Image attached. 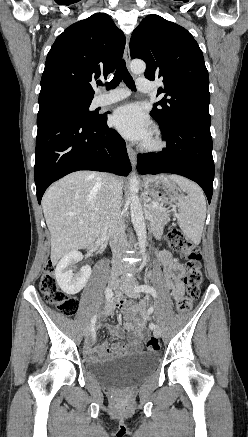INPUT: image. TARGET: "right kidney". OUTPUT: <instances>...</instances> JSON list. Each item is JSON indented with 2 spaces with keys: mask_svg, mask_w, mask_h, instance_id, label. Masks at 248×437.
<instances>
[{
  "mask_svg": "<svg viewBox=\"0 0 248 437\" xmlns=\"http://www.w3.org/2000/svg\"><path fill=\"white\" fill-rule=\"evenodd\" d=\"M82 259V254L72 251L61 258L55 269V277L59 287L69 295L79 293L91 275V267L84 266L79 273H74V263Z\"/></svg>",
  "mask_w": 248,
  "mask_h": 437,
  "instance_id": "ca27d5eb",
  "label": "right kidney"
}]
</instances>
